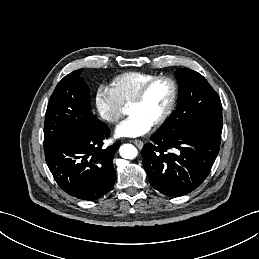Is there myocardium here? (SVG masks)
Listing matches in <instances>:
<instances>
[{"mask_svg": "<svg viewBox=\"0 0 259 259\" xmlns=\"http://www.w3.org/2000/svg\"><path fill=\"white\" fill-rule=\"evenodd\" d=\"M158 81H167L171 85L172 91H171V97L167 105V108L160 116V118L152 124L154 127H159L162 124H164L174 109V106L177 100V95H178V87L175 80L172 77L167 75H159V76L152 77L141 86V88L138 90V92L135 94V96L129 103V108H131L133 105L143 100L149 88Z\"/></svg>", "mask_w": 259, "mask_h": 259, "instance_id": "1", "label": "myocardium"}]
</instances>
